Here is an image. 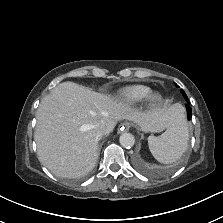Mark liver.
I'll use <instances>...</instances> for the list:
<instances>
[{
    "instance_id": "obj_1",
    "label": "liver",
    "mask_w": 223,
    "mask_h": 223,
    "mask_svg": "<svg viewBox=\"0 0 223 223\" xmlns=\"http://www.w3.org/2000/svg\"><path fill=\"white\" fill-rule=\"evenodd\" d=\"M179 104L140 112L122 100L102 95L73 82H63L45 96L36 113L34 139L39 161L54 175L76 178L96 164L101 138L95 127L104 124L113 131L117 121L128 119L143 131L161 132L170 127Z\"/></svg>"
}]
</instances>
